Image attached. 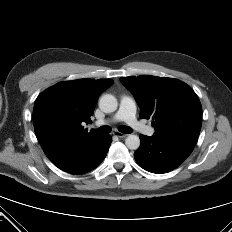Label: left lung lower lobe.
<instances>
[{
	"label": "left lung lower lobe",
	"mask_w": 232,
	"mask_h": 232,
	"mask_svg": "<svg viewBox=\"0 0 232 232\" xmlns=\"http://www.w3.org/2000/svg\"><path fill=\"white\" fill-rule=\"evenodd\" d=\"M198 137L192 135H140V147L134 153L143 169L157 174L180 166L193 151Z\"/></svg>",
	"instance_id": "0a47b994"
}]
</instances>
